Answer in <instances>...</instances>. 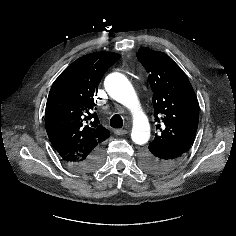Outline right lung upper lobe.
Listing matches in <instances>:
<instances>
[{"label":"right lung upper lobe","mask_w":236,"mask_h":236,"mask_svg":"<svg viewBox=\"0 0 236 236\" xmlns=\"http://www.w3.org/2000/svg\"><path fill=\"white\" fill-rule=\"evenodd\" d=\"M119 58L112 52L87 54L53 83L46 103L45 127L61 158L85 159L110 136L99 123L93 96L105 72Z\"/></svg>","instance_id":"1"}]
</instances>
